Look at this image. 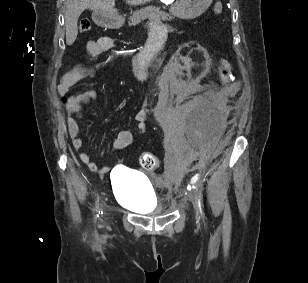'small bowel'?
<instances>
[{
	"label": "small bowel",
	"mask_w": 308,
	"mask_h": 283,
	"mask_svg": "<svg viewBox=\"0 0 308 283\" xmlns=\"http://www.w3.org/2000/svg\"><path fill=\"white\" fill-rule=\"evenodd\" d=\"M150 38L152 35L158 31L165 29L162 25L155 23L150 27ZM114 47V42L110 37H100L97 40L89 41L86 46V51L91 57H98ZM130 69L135 78L140 81H145L148 78V72L141 64L139 57H134L130 63ZM92 72L83 67H75L66 71L58 85V91L62 95H67L70 88L80 82L81 80L91 77ZM96 98V93L93 90H85L79 94L70 96L67 101V111H68V129L69 134L72 139V145L75 150L79 152L80 160L91 170L92 172H98L101 174H106L109 172L110 168L107 166L98 167L95 162H93L90 156L84 151V142L81 137H79V124L82 122V111L83 105L88 103L90 100ZM183 99L182 94L177 95V101ZM168 108V97L164 95L157 103L155 109V116L158 119H163L167 114ZM150 117V109L145 108L139 111L135 120L137 122L136 134L143 135L147 132V121ZM133 141V134L129 130L118 131L117 137L113 141V147L116 150L123 149L131 144Z\"/></svg>",
	"instance_id": "c3829d8e"
}]
</instances>
